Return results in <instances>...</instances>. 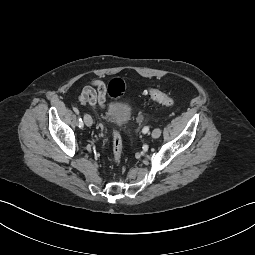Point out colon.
<instances>
[{
    "label": "colon",
    "mask_w": 255,
    "mask_h": 255,
    "mask_svg": "<svg viewBox=\"0 0 255 255\" xmlns=\"http://www.w3.org/2000/svg\"><path fill=\"white\" fill-rule=\"evenodd\" d=\"M126 89L125 81L121 78H114L110 81L108 85V92L111 97H118L124 93ZM147 95L155 102L165 106H173L175 105V100L170 97L168 94L162 92L157 88H149L147 90ZM113 156L114 162L116 164L120 163L123 154V143L122 138L118 130H114L113 132Z\"/></svg>",
    "instance_id": "1"
}]
</instances>
